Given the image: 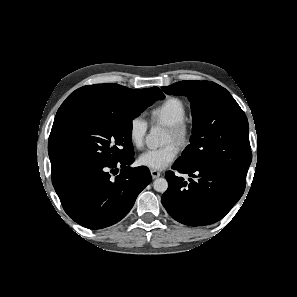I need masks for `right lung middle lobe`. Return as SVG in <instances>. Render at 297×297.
Returning <instances> with one entry per match:
<instances>
[{
  "instance_id": "obj_1",
  "label": "right lung middle lobe",
  "mask_w": 297,
  "mask_h": 297,
  "mask_svg": "<svg viewBox=\"0 0 297 297\" xmlns=\"http://www.w3.org/2000/svg\"><path fill=\"white\" fill-rule=\"evenodd\" d=\"M158 99L163 97L142 89L117 109L84 112L61 124L50 142L55 161L52 173L58 176L77 165L133 155L132 120Z\"/></svg>"
}]
</instances>
